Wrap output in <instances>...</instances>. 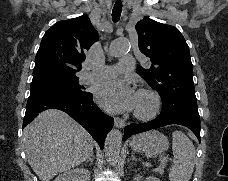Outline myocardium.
<instances>
[{
    "label": "myocardium",
    "mask_w": 228,
    "mask_h": 181,
    "mask_svg": "<svg viewBox=\"0 0 228 181\" xmlns=\"http://www.w3.org/2000/svg\"><path fill=\"white\" fill-rule=\"evenodd\" d=\"M138 94L148 96L151 100V106L146 111H143V110H140L139 108H137L135 115L138 118L144 119V120L152 119L158 113L160 105H161V100H160L159 94L156 91L151 90V89H140L138 91Z\"/></svg>",
    "instance_id": "obj_1"
}]
</instances>
